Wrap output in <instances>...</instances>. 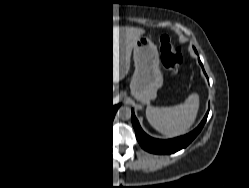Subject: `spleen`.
Masks as SVG:
<instances>
[{
	"instance_id": "1",
	"label": "spleen",
	"mask_w": 249,
	"mask_h": 188,
	"mask_svg": "<svg viewBox=\"0 0 249 188\" xmlns=\"http://www.w3.org/2000/svg\"><path fill=\"white\" fill-rule=\"evenodd\" d=\"M199 108V96L192 93L184 103L173 107L147 106L148 122L160 133L168 137L185 134L194 123Z\"/></svg>"
}]
</instances>
